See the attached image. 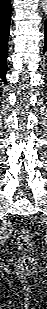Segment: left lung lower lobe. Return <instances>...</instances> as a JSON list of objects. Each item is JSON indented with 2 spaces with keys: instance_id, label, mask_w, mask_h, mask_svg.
Here are the masks:
<instances>
[{
  "instance_id": "obj_1",
  "label": "left lung lower lobe",
  "mask_w": 47,
  "mask_h": 309,
  "mask_svg": "<svg viewBox=\"0 0 47 309\" xmlns=\"http://www.w3.org/2000/svg\"><path fill=\"white\" fill-rule=\"evenodd\" d=\"M47 50V20L45 21V44H44V51L43 53H45Z\"/></svg>"
}]
</instances>
